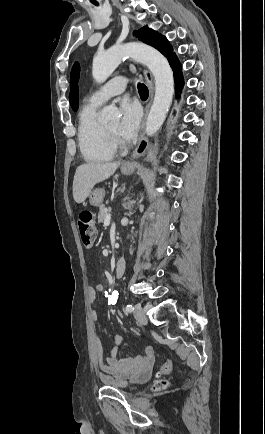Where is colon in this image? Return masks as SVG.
<instances>
[{
  "instance_id": "colon-1",
  "label": "colon",
  "mask_w": 265,
  "mask_h": 434,
  "mask_svg": "<svg viewBox=\"0 0 265 434\" xmlns=\"http://www.w3.org/2000/svg\"><path fill=\"white\" fill-rule=\"evenodd\" d=\"M76 221L83 247L85 249L92 248L97 237V228L93 214L89 211H84L83 213L77 215ZM172 368L173 362L171 360L166 361L156 371L155 377L157 379L161 378V376L170 373ZM166 387L167 383L162 380H156V382L153 384V389L155 391H163L166 389Z\"/></svg>"
}]
</instances>
